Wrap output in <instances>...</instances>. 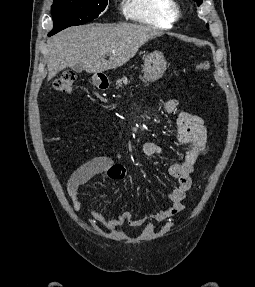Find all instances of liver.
Masks as SVG:
<instances>
[{
  "label": "liver",
  "instance_id": "1",
  "mask_svg": "<svg viewBox=\"0 0 255 287\" xmlns=\"http://www.w3.org/2000/svg\"><path fill=\"white\" fill-rule=\"evenodd\" d=\"M157 36H162V32L123 22L67 28L47 40L44 54L48 80L76 64H80L88 74H102L120 68L135 56L143 44ZM106 56H110L108 62Z\"/></svg>",
  "mask_w": 255,
  "mask_h": 287
}]
</instances>
